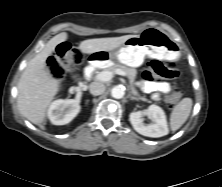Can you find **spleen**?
<instances>
[{
    "instance_id": "3e777b00",
    "label": "spleen",
    "mask_w": 222,
    "mask_h": 187,
    "mask_svg": "<svg viewBox=\"0 0 222 187\" xmlns=\"http://www.w3.org/2000/svg\"><path fill=\"white\" fill-rule=\"evenodd\" d=\"M192 109V99L183 98L172 110L170 115V128L178 130L188 119Z\"/></svg>"
}]
</instances>
